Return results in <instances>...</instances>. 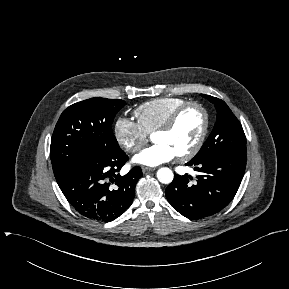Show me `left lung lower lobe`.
I'll use <instances>...</instances> for the list:
<instances>
[{
    "instance_id": "left-lung-lower-lobe-1",
    "label": "left lung lower lobe",
    "mask_w": 289,
    "mask_h": 289,
    "mask_svg": "<svg viewBox=\"0 0 289 289\" xmlns=\"http://www.w3.org/2000/svg\"><path fill=\"white\" fill-rule=\"evenodd\" d=\"M199 172L191 176L175 174L166 188L171 206L189 219H201L225 208L234 198L246 167V153H223L199 162L189 161Z\"/></svg>"
}]
</instances>
